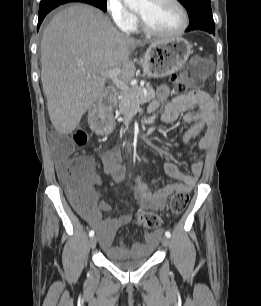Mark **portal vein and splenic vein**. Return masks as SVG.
Masks as SVG:
<instances>
[{"label":"portal vein and splenic vein","mask_w":261,"mask_h":306,"mask_svg":"<svg viewBox=\"0 0 261 306\" xmlns=\"http://www.w3.org/2000/svg\"><path fill=\"white\" fill-rule=\"evenodd\" d=\"M121 73L120 68H113L108 71L101 73L104 79H111L113 83L122 90H127L129 86L119 79V75Z\"/></svg>","instance_id":"18ae733b"}]
</instances>
